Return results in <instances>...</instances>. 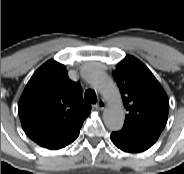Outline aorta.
<instances>
[{"label":"aorta","instance_id":"1","mask_svg":"<svg viewBox=\"0 0 184 174\" xmlns=\"http://www.w3.org/2000/svg\"><path fill=\"white\" fill-rule=\"evenodd\" d=\"M90 83L102 93L108 102L103 120L110 130H120L124 124L125 114L120 92L115 83L102 71H92Z\"/></svg>","mask_w":184,"mask_h":174}]
</instances>
